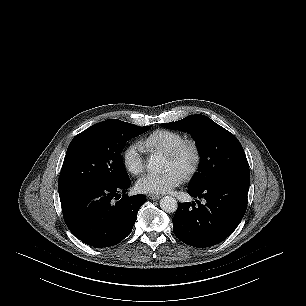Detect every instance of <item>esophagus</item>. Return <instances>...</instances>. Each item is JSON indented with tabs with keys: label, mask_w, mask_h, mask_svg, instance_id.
Wrapping results in <instances>:
<instances>
[{
	"label": "esophagus",
	"mask_w": 306,
	"mask_h": 306,
	"mask_svg": "<svg viewBox=\"0 0 306 306\" xmlns=\"http://www.w3.org/2000/svg\"><path fill=\"white\" fill-rule=\"evenodd\" d=\"M148 198H149L150 200H158V199L161 198V196H160V195L149 194V195H148Z\"/></svg>",
	"instance_id": "34e87169"
}]
</instances>
